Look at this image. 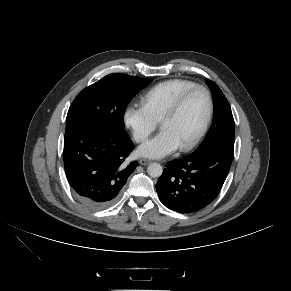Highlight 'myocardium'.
Segmentation results:
<instances>
[{"label":"myocardium","mask_w":291,"mask_h":291,"mask_svg":"<svg viewBox=\"0 0 291 291\" xmlns=\"http://www.w3.org/2000/svg\"><path fill=\"white\" fill-rule=\"evenodd\" d=\"M198 90L204 92V94L207 98L206 115H205V118L201 124V127L199 128L197 133L193 136V138L190 141H188L186 144L179 146V149L181 151L191 150L193 147H195L198 144V142L202 139V137L206 133L208 126L210 124V121L212 119V116H213V111H214V102H213L211 92L209 91L208 88H206L205 86H202V85H195V86H192V87L186 89L173 101V103L169 106V108L165 111V113L162 115V117L160 119V125H161L165 120L170 119L173 116H175L178 113V111L180 110V108L182 107L185 100L193 92L198 91Z\"/></svg>","instance_id":"1"}]
</instances>
